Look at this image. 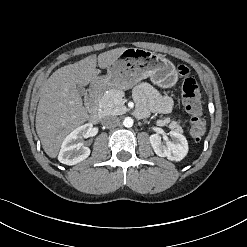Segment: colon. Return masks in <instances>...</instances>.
<instances>
[{
    "instance_id": "1",
    "label": "colon",
    "mask_w": 247,
    "mask_h": 247,
    "mask_svg": "<svg viewBox=\"0 0 247 247\" xmlns=\"http://www.w3.org/2000/svg\"><path fill=\"white\" fill-rule=\"evenodd\" d=\"M177 72L183 79V102L186 110L191 115V137L195 141H199L206 129V123L202 117V102L199 87L195 78L190 74L189 69L185 65H179Z\"/></svg>"
}]
</instances>
